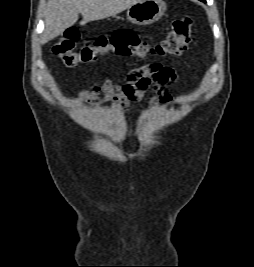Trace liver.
Returning <instances> with one entry per match:
<instances>
[{"label": "liver", "instance_id": "6515ba94", "mask_svg": "<svg viewBox=\"0 0 254 267\" xmlns=\"http://www.w3.org/2000/svg\"><path fill=\"white\" fill-rule=\"evenodd\" d=\"M142 0H49L42 44L73 26L82 15L81 24L117 15Z\"/></svg>", "mask_w": 254, "mask_h": 267}]
</instances>
